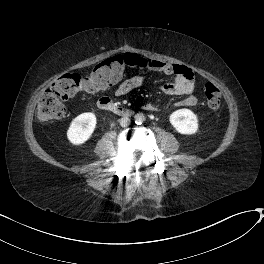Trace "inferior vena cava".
Returning <instances> with one entry per match:
<instances>
[{"mask_svg":"<svg viewBox=\"0 0 264 264\" xmlns=\"http://www.w3.org/2000/svg\"><path fill=\"white\" fill-rule=\"evenodd\" d=\"M119 122L122 127H127L130 124V119L128 117H123Z\"/></svg>","mask_w":264,"mask_h":264,"instance_id":"1","label":"inferior vena cava"}]
</instances>
